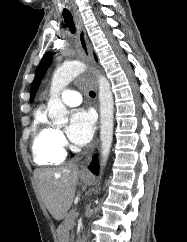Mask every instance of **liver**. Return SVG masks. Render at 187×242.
<instances>
[{
	"instance_id": "liver-1",
	"label": "liver",
	"mask_w": 187,
	"mask_h": 242,
	"mask_svg": "<svg viewBox=\"0 0 187 242\" xmlns=\"http://www.w3.org/2000/svg\"><path fill=\"white\" fill-rule=\"evenodd\" d=\"M39 194L52 217L60 221L70 209L79 179L76 165L40 168L34 172Z\"/></svg>"
}]
</instances>
